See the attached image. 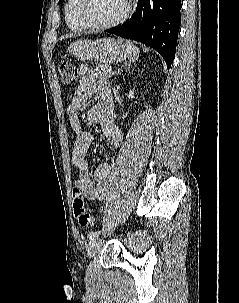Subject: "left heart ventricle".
<instances>
[{"instance_id":"b2bd125f","label":"left heart ventricle","mask_w":239,"mask_h":303,"mask_svg":"<svg viewBox=\"0 0 239 303\" xmlns=\"http://www.w3.org/2000/svg\"><path fill=\"white\" fill-rule=\"evenodd\" d=\"M126 4L127 0H88L85 13L95 23H106L119 17Z\"/></svg>"}]
</instances>
